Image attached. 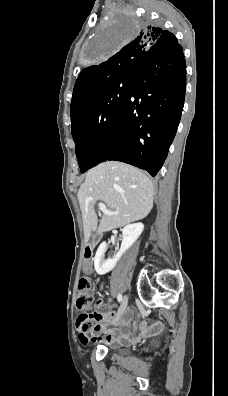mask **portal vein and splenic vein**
I'll return each instance as SVG.
<instances>
[{"mask_svg": "<svg viewBox=\"0 0 228 396\" xmlns=\"http://www.w3.org/2000/svg\"><path fill=\"white\" fill-rule=\"evenodd\" d=\"M99 209L103 212V214L106 215H118V212H113V211H109L107 210L106 205L103 202H99L98 203Z\"/></svg>", "mask_w": 228, "mask_h": 396, "instance_id": "obj_1", "label": "portal vein and splenic vein"}]
</instances>
